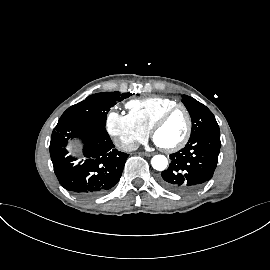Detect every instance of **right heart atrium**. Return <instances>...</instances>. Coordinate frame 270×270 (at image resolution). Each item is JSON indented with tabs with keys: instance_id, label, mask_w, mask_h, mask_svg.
<instances>
[{
	"instance_id": "right-heart-atrium-1",
	"label": "right heart atrium",
	"mask_w": 270,
	"mask_h": 270,
	"mask_svg": "<svg viewBox=\"0 0 270 270\" xmlns=\"http://www.w3.org/2000/svg\"><path fill=\"white\" fill-rule=\"evenodd\" d=\"M106 129L121 147L134 149L148 137V130L139 125L130 114L111 111L106 117Z\"/></svg>"
}]
</instances>
